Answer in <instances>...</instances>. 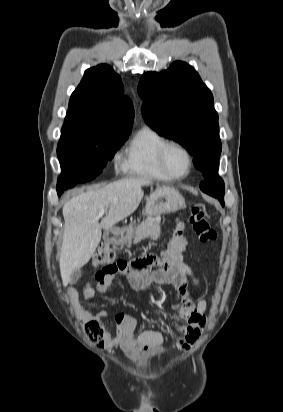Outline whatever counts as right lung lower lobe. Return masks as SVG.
<instances>
[{
  "mask_svg": "<svg viewBox=\"0 0 283 412\" xmlns=\"http://www.w3.org/2000/svg\"><path fill=\"white\" fill-rule=\"evenodd\" d=\"M75 184H78V182H61L57 184V192L58 195H61V193L67 189L73 187Z\"/></svg>",
  "mask_w": 283,
  "mask_h": 412,
  "instance_id": "obj_1",
  "label": "right lung lower lobe"
}]
</instances>
